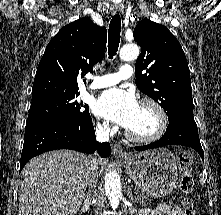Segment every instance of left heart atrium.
<instances>
[{
  "label": "left heart atrium",
  "mask_w": 221,
  "mask_h": 215,
  "mask_svg": "<svg viewBox=\"0 0 221 215\" xmlns=\"http://www.w3.org/2000/svg\"><path fill=\"white\" fill-rule=\"evenodd\" d=\"M139 104L130 92L109 89L103 92L95 103L94 111L114 123L128 128L138 110Z\"/></svg>",
  "instance_id": "left-heart-atrium-1"
}]
</instances>
